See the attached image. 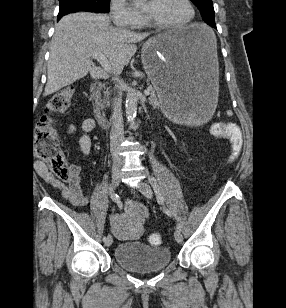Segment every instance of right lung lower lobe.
<instances>
[{"label": "right lung lower lobe", "instance_id": "1", "mask_svg": "<svg viewBox=\"0 0 286 308\" xmlns=\"http://www.w3.org/2000/svg\"><path fill=\"white\" fill-rule=\"evenodd\" d=\"M70 13V12H69ZM65 14H67V13H59L58 14V20L62 17V16H64Z\"/></svg>", "mask_w": 286, "mask_h": 308}]
</instances>
